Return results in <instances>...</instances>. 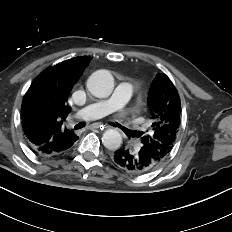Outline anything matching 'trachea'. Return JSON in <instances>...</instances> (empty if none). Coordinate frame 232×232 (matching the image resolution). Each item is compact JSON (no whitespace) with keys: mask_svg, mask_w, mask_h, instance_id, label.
Wrapping results in <instances>:
<instances>
[{"mask_svg":"<svg viewBox=\"0 0 232 232\" xmlns=\"http://www.w3.org/2000/svg\"><path fill=\"white\" fill-rule=\"evenodd\" d=\"M84 125H85V122H80L74 128L77 130V129L84 127Z\"/></svg>","mask_w":232,"mask_h":232,"instance_id":"1","label":"trachea"}]
</instances>
